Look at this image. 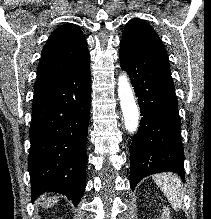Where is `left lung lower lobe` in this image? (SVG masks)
I'll use <instances>...</instances> for the list:
<instances>
[{
	"instance_id": "left-lung-lower-lobe-1",
	"label": "left lung lower lobe",
	"mask_w": 211,
	"mask_h": 219,
	"mask_svg": "<svg viewBox=\"0 0 211 219\" xmlns=\"http://www.w3.org/2000/svg\"><path fill=\"white\" fill-rule=\"evenodd\" d=\"M119 58L143 116L130 146L132 190L142 178L164 171L176 172L184 180L181 120L166 50L121 40Z\"/></svg>"
}]
</instances>
